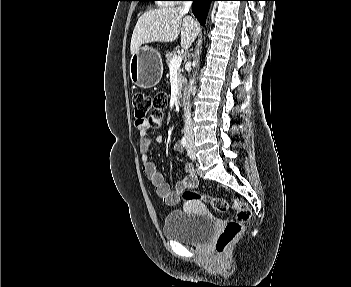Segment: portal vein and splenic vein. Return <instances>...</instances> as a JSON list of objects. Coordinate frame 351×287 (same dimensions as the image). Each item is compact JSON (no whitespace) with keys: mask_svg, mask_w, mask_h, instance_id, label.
<instances>
[{"mask_svg":"<svg viewBox=\"0 0 351 287\" xmlns=\"http://www.w3.org/2000/svg\"><path fill=\"white\" fill-rule=\"evenodd\" d=\"M182 55H176L175 57H173L171 64H170V69H178L182 63Z\"/></svg>","mask_w":351,"mask_h":287,"instance_id":"obj_1","label":"portal vein and splenic vein"}]
</instances>
